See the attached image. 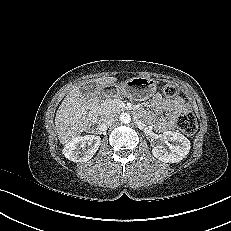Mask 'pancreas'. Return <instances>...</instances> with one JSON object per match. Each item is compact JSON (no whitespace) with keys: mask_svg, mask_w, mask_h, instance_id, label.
<instances>
[{"mask_svg":"<svg viewBox=\"0 0 231 231\" xmlns=\"http://www.w3.org/2000/svg\"><path fill=\"white\" fill-rule=\"evenodd\" d=\"M122 110L119 105V99H106L99 106L100 115H108L111 113H118Z\"/></svg>","mask_w":231,"mask_h":231,"instance_id":"obj_1","label":"pancreas"}]
</instances>
